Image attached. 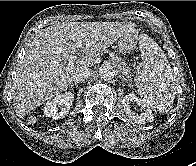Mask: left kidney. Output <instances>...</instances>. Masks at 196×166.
<instances>
[{
    "instance_id": "5707ae66",
    "label": "left kidney",
    "mask_w": 196,
    "mask_h": 166,
    "mask_svg": "<svg viewBox=\"0 0 196 166\" xmlns=\"http://www.w3.org/2000/svg\"><path fill=\"white\" fill-rule=\"evenodd\" d=\"M121 102L124 107L123 108L124 112L129 117V119L134 123L145 124L147 122H152L154 120L149 105L144 100H139L134 94H129L124 96ZM133 102L137 103V105H139L141 109L144 111L139 116L135 115V113L131 112L130 110V104Z\"/></svg>"
}]
</instances>
